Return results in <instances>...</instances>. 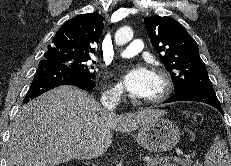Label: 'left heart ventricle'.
<instances>
[{"label": "left heart ventricle", "instance_id": "1", "mask_svg": "<svg viewBox=\"0 0 231 166\" xmlns=\"http://www.w3.org/2000/svg\"><path fill=\"white\" fill-rule=\"evenodd\" d=\"M160 87V83H159V80L157 79V77L155 76L154 74V78H153V83H152V88L149 92V94L146 96V97H151L153 96L154 94L157 93L158 89Z\"/></svg>", "mask_w": 231, "mask_h": 166}]
</instances>
